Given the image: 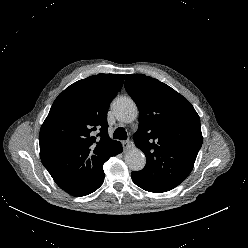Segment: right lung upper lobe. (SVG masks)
I'll return each instance as SVG.
<instances>
[{
  "mask_svg": "<svg viewBox=\"0 0 248 248\" xmlns=\"http://www.w3.org/2000/svg\"><path fill=\"white\" fill-rule=\"evenodd\" d=\"M124 77L98 74L75 82L56 98L41 126V161L72 196L83 195L99 181L103 164L120 144L109 138L107 112Z\"/></svg>",
  "mask_w": 248,
  "mask_h": 248,
  "instance_id": "obj_1",
  "label": "right lung upper lobe"
}]
</instances>
